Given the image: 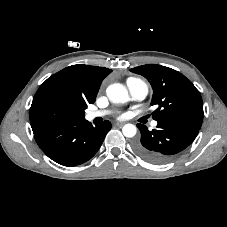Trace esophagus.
I'll return each mask as SVG.
<instances>
[{
	"mask_svg": "<svg viewBox=\"0 0 227 227\" xmlns=\"http://www.w3.org/2000/svg\"><path fill=\"white\" fill-rule=\"evenodd\" d=\"M116 125H117V126H123L124 123H123V122H117Z\"/></svg>",
	"mask_w": 227,
	"mask_h": 227,
	"instance_id": "esophagus-1",
	"label": "esophagus"
}]
</instances>
